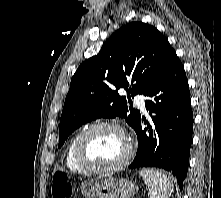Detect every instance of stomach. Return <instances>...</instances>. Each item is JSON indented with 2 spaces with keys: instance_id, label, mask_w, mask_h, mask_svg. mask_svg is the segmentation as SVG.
<instances>
[{
  "instance_id": "1",
  "label": "stomach",
  "mask_w": 221,
  "mask_h": 198,
  "mask_svg": "<svg viewBox=\"0 0 221 198\" xmlns=\"http://www.w3.org/2000/svg\"><path fill=\"white\" fill-rule=\"evenodd\" d=\"M81 193L85 198H132L136 193V187L128 179L106 178L83 182Z\"/></svg>"
}]
</instances>
